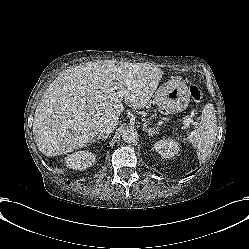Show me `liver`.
<instances>
[{"label": "liver", "instance_id": "1", "mask_svg": "<svg viewBox=\"0 0 249 249\" xmlns=\"http://www.w3.org/2000/svg\"><path fill=\"white\" fill-rule=\"evenodd\" d=\"M161 78L156 72L113 62L89 63L58 77L46 90L35 111L34 138L47 156L84 147L101 124L118 120L130 108H144Z\"/></svg>", "mask_w": 249, "mask_h": 249}]
</instances>
